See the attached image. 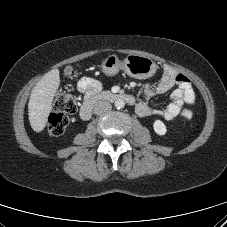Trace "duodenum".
<instances>
[{
  "instance_id": "410a0bca",
  "label": "duodenum",
  "mask_w": 227,
  "mask_h": 227,
  "mask_svg": "<svg viewBox=\"0 0 227 227\" xmlns=\"http://www.w3.org/2000/svg\"><path fill=\"white\" fill-rule=\"evenodd\" d=\"M117 100H123L129 104L134 103V98L129 94L112 92H100L97 94L94 93L93 95L89 96L83 103V106L80 110V117L83 120L90 119L93 107L99 101L114 102Z\"/></svg>"
}]
</instances>
